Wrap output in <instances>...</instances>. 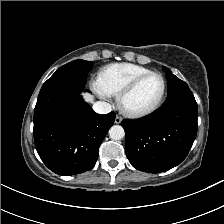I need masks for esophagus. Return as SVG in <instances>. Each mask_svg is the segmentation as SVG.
I'll use <instances>...</instances> for the list:
<instances>
[{
    "instance_id": "34e87169",
    "label": "esophagus",
    "mask_w": 224,
    "mask_h": 224,
    "mask_svg": "<svg viewBox=\"0 0 224 224\" xmlns=\"http://www.w3.org/2000/svg\"><path fill=\"white\" fill-rule=\"evenodd\" d=\"M121 121H122V117L117 115L116 118H115V123L120 124Z\"/></svg>"
}]
</instances>
